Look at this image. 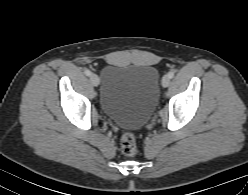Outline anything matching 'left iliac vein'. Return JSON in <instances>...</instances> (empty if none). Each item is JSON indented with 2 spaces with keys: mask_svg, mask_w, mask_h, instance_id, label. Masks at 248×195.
Wrapping results in <instances>:
<instances>
[{
  "mask_svg": "<svg viewBox=\"0 0 248 195\" xmlns=\"http://www.w3.org/2000/svg\"><path fill=\"white\" fill-rule=\"evenodd\" d=\"M170 84V78L168 75H165L163 78H162V86L163 87H168Z\"/></svg>",
  "mask_w": 248,
  "mask_h": 195,
  "instance_id": "4c4485c4",
  "label": "left iliac vein"
}]
</instances>
